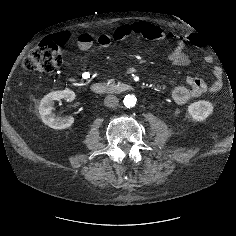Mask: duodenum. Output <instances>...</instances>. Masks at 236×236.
I'll return each instance as SVG.
<instances>
[{"instance_id":"1","label":"duodenum","mask_w":236,"mask_h":236,"mask_svg":"<svg viewBox=\"0 0 236 236\" xmlns=\"http://www.w3.org/2000/svg\"><path fill=\"white\" fill-rule=\"evenodd\" d=\"M132 88L133 87L130 84L122 82L107 84L102 81H97L91 85L92 92L99 95L110 93H124L132 90Z\"/></svg>"}]
</instances>
